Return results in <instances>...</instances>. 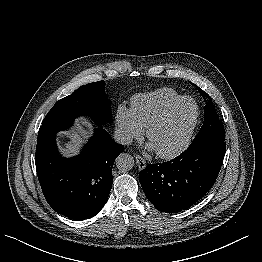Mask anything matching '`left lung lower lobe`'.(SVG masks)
<instances>
[{
  "instance_id": "left-lung-lower-lobe-1",
  "label": "left lung lower lobe",
  "mask_w": 262,
  "mask_h": 262,
  "mask_svg": "<svg viewBox=\"0 0 262 262\" xmlns=\"http://www.w3.org/2000/svg\"><path fill=\"white\" fill-rule=\"evenodd\" d=\"M225 153V141L212 140L190 145L168 162L148 164L139 175L146 197L161 212L188 209L214 185Z\"/></svg>"
}]
</instances>
